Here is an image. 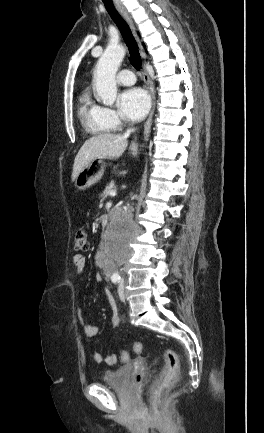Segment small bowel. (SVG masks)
<instances>
[{
	"label": "small bowel",
	"instance_id": "obj_1",
	"mask_svg": "<svg viewBox=\"0 0 264 433\" xmlns=\"http://www.w3.org/2000/svg\"><path fill=\"white\" fill-rule=\"evenodd\" d=\"M73 263L74 266L76 268V272L77 274H81L84 269H85V265H86V258L85 256L81 255V254H76L73 257ZM97 282H102V277L100 274H97L95 277ZM106 292L108 293V291L106 290ZM78 318L79 321L81 322L82 326H83V330L84 333L87 337L89 338H93L98 334V327L96 325L93 324H88L84 322V318L82 315L81 310H78ZM112 321L117 324L118 323V317L116 314L113 315L112 317ZM91 359L95 362V363H102L103 361L108 364V365H114L117 362V357L116 355L112 354L107 356L105 359L102 357L101 354L97 353V352H92L91 353Z\"/></svg>",
	"mask_w": 264,
	"mask_h": 433
}]
</instances>
